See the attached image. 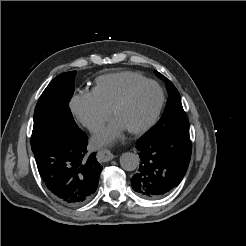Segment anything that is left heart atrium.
<instances>
[{
    "label": "left heart atrium",
    "mask_w": 246,
    "mask_h": 246,
    "mask_svg": "<svg viewBox=\"0 0 246 246\" xmlns=\"http://www.w3.org/2000/svg\"><path fill=\"white\" fill-rule=\"evenodd\" d=\"M124 129L122 124L115 120L109 126L100 130L94 137V142L96 144H106L113 141L121 131Z\"/></svg>",
    "instance_id": "39dd6f15"
}]
</instances>
